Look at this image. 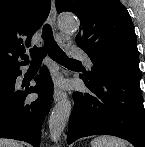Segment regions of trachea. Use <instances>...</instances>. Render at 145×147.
<instances>
[{
  "instance_id": "1",
  "label": "trachea",
  "mask_w": 145,
  "mask_h": 147,
  "mask_svg": "<svg viewBox=\"0 0 145 147\" xmlns=\"http://www.w3.org/2000/svg\"><path fill=\"white\" fill-rule=\"evenodd\" d=\"M42 38L44 40V46L41 48L35 46L30 50L32 57L31 65H40L47 53L54 61L63 66H70L79 63V61L68 58L58 46L54 40L50 25H44Z\"/></svg>"
}]
</instances>
